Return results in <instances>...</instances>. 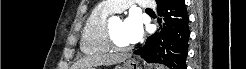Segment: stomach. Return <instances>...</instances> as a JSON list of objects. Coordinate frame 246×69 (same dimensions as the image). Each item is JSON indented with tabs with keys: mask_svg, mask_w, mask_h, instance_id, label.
Instances as JSON below:
<instances>
[{
	"mask_svg": "<svg viewBox=\"0 0 246 69\" xmlns=\"http://www.w3.org/2000/svg\"><path fill=\"white\" fill-rule=\"evenodd\" d=\"M120 69H140L138 63L134 60L126 61Z\"/></svg>",
	"mask_w": 246,
	"mask_h": 69,
	"instance_id": "1",
	"label": "stomach"
}]
</instances>
